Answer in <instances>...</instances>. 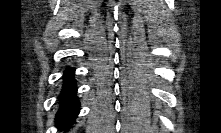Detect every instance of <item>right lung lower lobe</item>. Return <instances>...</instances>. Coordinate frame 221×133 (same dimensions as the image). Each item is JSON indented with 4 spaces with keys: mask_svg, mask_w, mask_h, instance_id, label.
<instances>
[{
    "mask_svg": "<svg viewBox=\"0 0 221 133\" xmlns=\"http://www.w3.org/2000/svg\"><path fill=\"white\" fill-rule=\"evenodd\" d=\"M74 69L67 68L63 76L64 83L60 95V109L56 115L58 128L68 129L79 113L80 103L76 97V85L73 78Z\"/></svg>",
    "mask_w": 221,
    "mask_h": 133,
    "instance_id": "obj_1",
    "label": "right lung lower lobe"
}]
</instances>
